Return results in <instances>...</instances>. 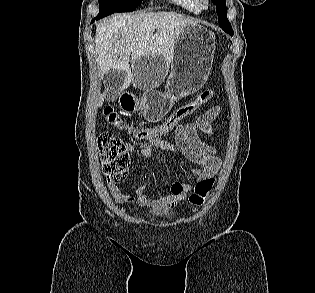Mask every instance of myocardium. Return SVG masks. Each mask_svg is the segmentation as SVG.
Segmentation results:
<instances>
[{
  "instance_id": "1",
  "label": "myocardium",
  "mask_w": 315,
  "mask_h": 293,
  "mask_svg": "<svg viewBox=\"0 0 315 293\" xmlns=\"http://www.w3.org/2000/svg\"><path fill=\"white\" fill-rule=\"evenodd\" d=\"M201 11H206L210 8V0H197Z\"/></svg>"
}]
</instances>
